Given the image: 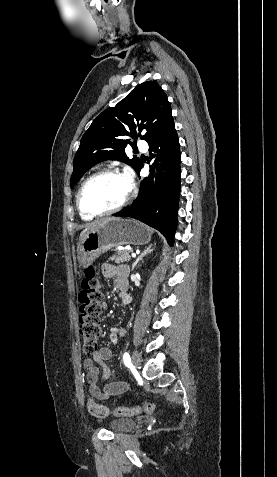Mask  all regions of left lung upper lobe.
Here are the masks:
<instances>
[{"instance_id": "5c2ea615", "label": "left lung upper lobe", "mask_w": 277, "mask_h": 477, "mask_svg": "<svg viewBox=\"0 0 277 477\" xmlns=\"http://www.w3.org/2000/svg\"><path fill=\"white\" fill-rule=\"evenodd\" d=\"M172 118L163 89L154 81L141 83L115 107L98 115L84 133L73 161L71 188L86 171L104 160H119L137 171L140 159H129L125 154V147L130 144L128 137L148 142Z\"/></svg>"}]
</instances>
